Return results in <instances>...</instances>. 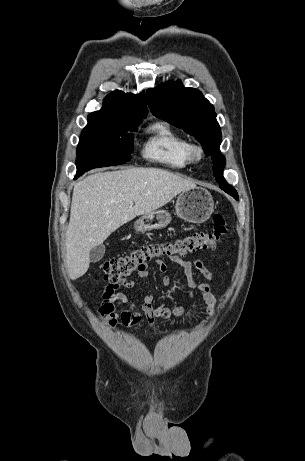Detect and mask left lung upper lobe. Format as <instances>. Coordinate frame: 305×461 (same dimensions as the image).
<instances>
[{
    "label": "left lung upper lobe",
    "instance_id": "obj_1",
    "mask_svg": "<svg viewBox=\"0 0 305 461\" xmlns=\"http://www.w3.org/2000/svg\"><path fill=\"white\" fill-rule=\"evenodd\" d=\"M146 95L156 117L183 128L202 144L206 155L212 157L213 173L220 188L238 200L236 190L223 177L225 158L219 150L222 136L213 105L199 90L185 88L180 80L149 89Z\"/></svg>",
    "mask_w": 305,
    "mask_h": 461
}]
</instances>
